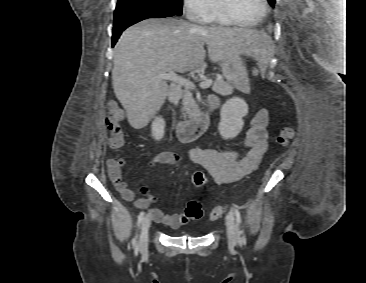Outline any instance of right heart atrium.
I'll return each mask as SVG.
<instances>
[{
	"label": "right heart atrium",
	"instance_id": "obj_1",
	"mask_svg": "<svg viewBox=\"0 0 366 283\" xmlns=\"http://www.w3.org/2000/svg\"><path fill=\"white\" fill-rule=\"evenodd\" d=\"M211 0H183L187 15L195 20L203 19L210 8Z\"/></svg>",
	"mask_w": 366,
	"mask_h": 283
}]
</instances>
